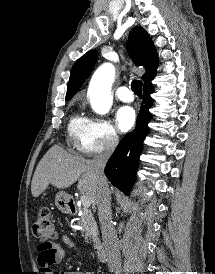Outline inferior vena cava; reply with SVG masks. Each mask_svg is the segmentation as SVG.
Masks as SVG:
<instances>
[{
  "label": "inferior vena cava",
  "mask_w": 215,
  "mask_h": 274,
  "mask_svg": "<svg viewBox=\"0 0 215 274\" xmlns=\"http://www.w3.org/2000/svg\"><path fill=\"white\" fill-rule=\"evenodd\" d=\"M117 144L118 138L111 136L106 142L104 151L95 155L91 161L98 184L96 204L103 245L107 256V264L111 271H119L121 269V257L118 238L112 225L111 194L104 174V168Z\"/></svg>",
  "instance_id": "602c4592"
}]
</instances>
